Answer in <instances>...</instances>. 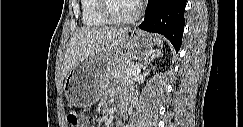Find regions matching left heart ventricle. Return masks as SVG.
<instances>
[{"instance_id": "1", "label": "left heart ventricle", "mask_w": 243, "mask_h": 127, "mask_svg": "<svg viewBox=\"0 0 243 127\" xmlns=\"http://www.w3.org/2000/svg\"><path fill=\"white\" fill-rule=\"evenodd\" d=\"M108 7L110 12L117 17H128L135 9L133 0H109Z\"/></svg>"}]
</instances>
